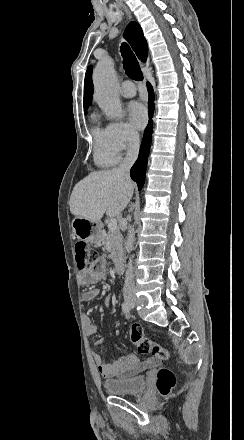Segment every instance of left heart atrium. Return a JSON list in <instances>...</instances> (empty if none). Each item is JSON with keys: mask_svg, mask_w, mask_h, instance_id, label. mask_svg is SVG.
Masks as SVG:
<instances>
[{"mask_svg": "<svg viewBox=\"0 0 244 440\" xmlns=\"http://www.w3.org/2000/svg\"><path fill=\"white\" fill-rule=\"evenodd\" d=\"M128 112L131 124L137 129H142L147 122L145 106L140 102H132L128 107Z\"/></svg>", "mask_w": 244, "mask_h": 440, "instance_id": "left-heart-atrium-1", "label": "left heart atrium"}]
</instances>
